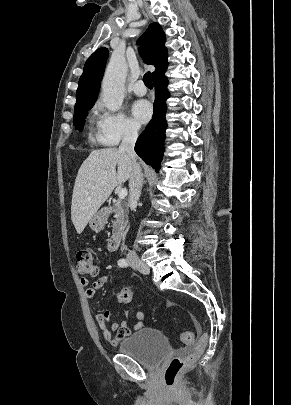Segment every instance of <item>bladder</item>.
<instances>
[{"label": "bladder", "mask_w": 291, "mask_h": 405, "mask_svg": "<svg viewBox=\"0 0 291 405\" xmlns=\"http://www.w3.org/2000/svg\"><path fill=\"white\" fill-rule=\"evenodd\" d=\"M121 354L127 355L147 368L157 367L169 353L167 337L158 329L145 327L133 332L118 346Z\"/></svg>", "instance_id": "31cf9c89"}]
</instances>
